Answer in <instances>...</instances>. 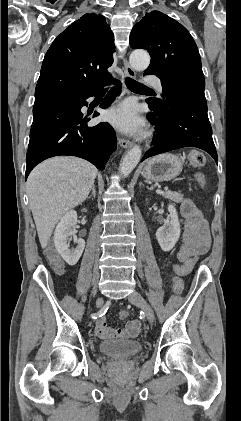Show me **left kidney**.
<instances>
[{
	"label": "left kidney",
	"mask_w": 241,
	"mask_h": 421,
	"mask_svg": "<svg viewBox=\"0 0 241 421\" xmlns=\"http://www.w3.org/2000/svg\"><path fill=\"white\" fill-rule=\"evenodd\" d=\"M168 211L171 218L170 222L161 226L156 232V238L164 252H169L175 246L181 232L175 206L172 204L168 205Z\"/></svg>",
	"instance_id": "1"
}]
</instances>
